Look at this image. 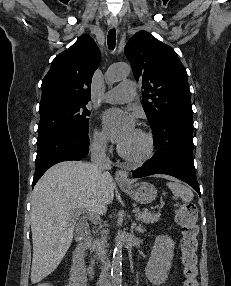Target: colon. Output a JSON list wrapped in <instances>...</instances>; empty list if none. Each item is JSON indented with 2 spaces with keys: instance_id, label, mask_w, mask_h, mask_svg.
<instances>
[{
  "instance_id": "5ec220e1",
  "label": "colon",
  "mask_w": 231,
  "mask_h": 286,
  "mask_svg": "<svg viewBox=\"0 0 231 286\" xmlns=\"http://www.w3.org/2000/svg\"><path fill=\"white\" fill-rule=\"evenodd\" d=\"M175 219L181 227V251L182 263L184 267L183 286L198 285V268H197V236L199 228L197 224L198 212L193 203H182L175 210ZM38 286H54L50 282H42Z\"/></svg>"
}]
</instances>
